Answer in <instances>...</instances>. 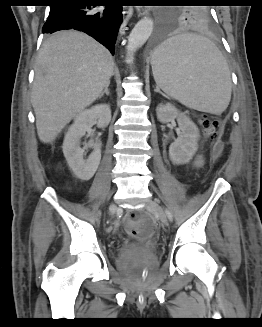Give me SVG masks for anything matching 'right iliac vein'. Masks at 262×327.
Here are the masks:
<instances>
[{
	"label": "right iliac vein",
	"instance_id": "63e3f726",
	"mask_svg": "<svg viewBox=\"0 0 262 327\" xmlns=\"http://www.w3.org/2000/svg\"><path fill=\"white\" fill-rule=\"evenodd\" d=\"M116 210V206L114 204L110 205L109 213L112 214Z\"/></svg>",
	"mask_w": 262,
	"mask_h": 327
}]
</instances>
